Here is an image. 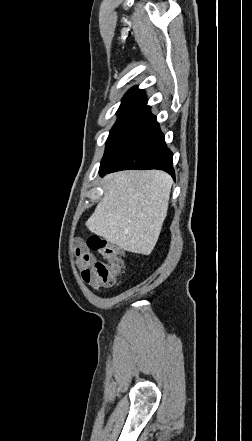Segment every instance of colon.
<instances>
[{
  "instance_id": "colon-1",
  "label": "colon",
  "mask_w": 252,
  "mask_h": 441,
  "mask_svg": "<svg viewBox=\"0 0 252 441\" xmlns=\"http://www.w3.org/2000/svg\"><path fill=\"white\" fill-rule=\"evenodd\" d=\"M75 254L82 279L92 286H113L124 267L121 250L98 235H90L84 244H77Z\"/></svg>"
}]
</instances>
